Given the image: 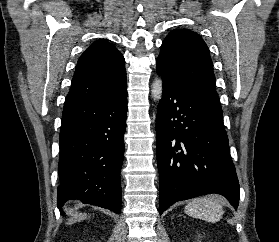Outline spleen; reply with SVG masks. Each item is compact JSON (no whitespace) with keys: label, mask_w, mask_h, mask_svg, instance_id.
<instances>
[{"label":"spleen","mask_w":279,"mask_h":242,"mask_svg":"<svg viewBox=\"0 0 279 242\" xmlns=\"http://www.w3.org/2000/svg\"><path fill=\"white\" fill-rule=\"evenodd\" d=\"M185 212L193 217L208 221H219L224 210L218 200L207 197H197L189 201L185 207Z\"/></svg>","instance_id":"3e777b00"}]
</instances>
